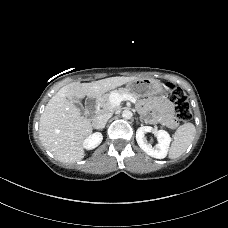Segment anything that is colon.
<instances>
[{"label":"colon","mask_w":228,"mask_h":228,"mask_svg":"<svg viewBox=\"0 0 228 228\" xmlns=\"http://www.w3.org/2000/svg\"><path fill=\"white\" fill-rule=\"evenodd\" d=\"M169 99L175 105V117L168 120V125L176 127L180 122H187L191 118L189 98L185 91L168 82L165 85Z\"/></svg>","instance_id":"5ec220e1"}]
</instances>
